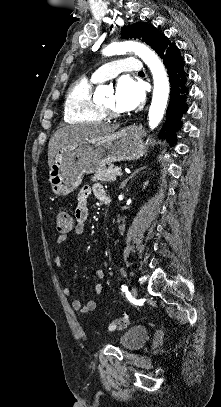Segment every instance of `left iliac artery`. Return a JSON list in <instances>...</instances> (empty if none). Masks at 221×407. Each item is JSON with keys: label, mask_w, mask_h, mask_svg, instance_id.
I'll return each instance as SVG.
<instances>
[{"label": "left iliac artery", "mask_w": 221, "mask_h": 407, "mask_svg": "<svg viewBox=\"0 0 221 407\" xmlns=\"http://www.w3.org/2000/svg\"><path fill=\"white\" fill-rule=\"evenodd\" d=\"M127 290H128L127 286L122 285V291L125 292Z\"/></svg>", "instance_id": "1"}]
</instances>
